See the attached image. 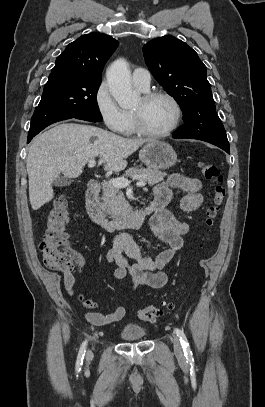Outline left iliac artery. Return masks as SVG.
Listing matches in <instances>:
<instances>
[{"mask_svg": "<svg viewBox=\"0 0 265 407\" xmlns=\"http://www.w3.org/2000/svg\"><path fill=\"white\" fill-rule=\"evenodd\" d=\"M175 332H176V335L180 339V342H181V345H182V348H183L184 355H185L186 359L188 361H190V362L194 361L193 354H192V351H191V349L189 347V343L187 341L186 335L184 334V332L182 330H180L178 328L175 329Z\"/></svg>", "mask_w": 265, "mask_h": 407, "instance_id": "left-iliac-artery-1", "label": "left iliac artery"}]
</instances>
